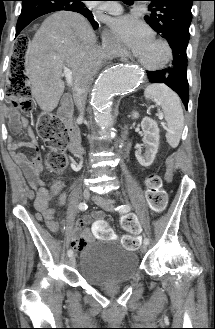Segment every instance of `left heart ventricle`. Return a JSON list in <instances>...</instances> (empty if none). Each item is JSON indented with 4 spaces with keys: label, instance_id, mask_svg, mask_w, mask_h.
<instances>
[{
    "label": "left heart ventricle",
    "instance_id": "left-heart-ventricle-1",
    "mask_svg": "<svg viewBox=\"0 0 215 329\" xmlns=\"http://www.w3.org/2000/svg\"><path fill=\"white\" fill-rule=\"evenodd\" d=\"M138 57L145 63L157 64L164 57L163 49L154 41H152L144 50L139 52Z\"/></svg>",
    "mask_w": 215,
    "mask_h": 329
}]
</instances>
